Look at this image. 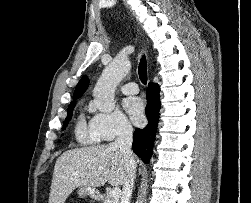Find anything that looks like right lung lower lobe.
<instances>
[{
    "label": "right lung lower lobe",
    "instance_id": "98d812e1",
    "mask_svg": "<svg viewBox=\"0 0 251 203\" xmlns=\"http://www.w3.org/2000/svg\"><path fill=\"white\" fill-rule=\"evenodd\" d=\"M160 87L157 83L150 82L146 91L147 105L145 114L148 125L144 129H136L133 134V151L148 163L152 155L153 143L157 131L160 109Z\"/></svg>",
    "mask_w": 251,
    "mask_h": 203
}]
</instances>
